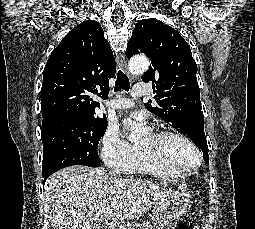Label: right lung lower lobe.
Returning <instances> with one entry per match:
<instances>
[{
	"instance_id": "right-lung-lower-lobe-1",
	"label": "right lung lower lobe",
	"mask_w": 255,
	"mask_h": 229,
	"mask_svg": "<svg viewBox=\"0 0 255 229\" xmlns=\"http://www.w3.org/2000/svg\"><path fill=\"white\" fill-rule=\"evenodd\" d=\"M49 176H50V175H43V177H44L43 184H45V181H46V179H47Z\"/></svg>"
}]
</instances>
